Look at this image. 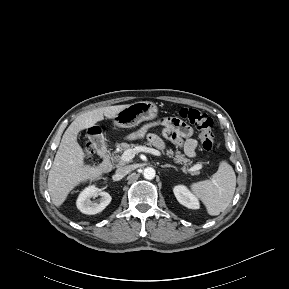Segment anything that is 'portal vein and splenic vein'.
<instances>
[{"mask_svg":"<svg viewBox=\"0 0 289 289\" xmlns=\"http://www.w3.org/2000/svg\"><path fill=\"white\" fill-rule=\"evenodd\" d=\"M139 152H147L156 156H161V153L153 148H149L146 146H137L134 149H128L126 151L123 152V154L121 155V160L124 162H129L130 160H132L135 156V154L139 153ZM202 168L201 164H196L193 167L189 168V169H183V171H189V172H193V171H197L199 169Z\"/></svg>","mask_w":289,"mask_h":289,"instance_id":"obj_1","label":"portal vein and splenic vein"}]
</instances>
